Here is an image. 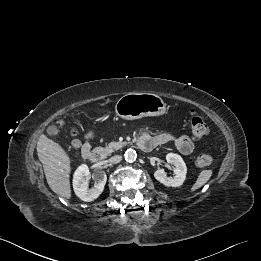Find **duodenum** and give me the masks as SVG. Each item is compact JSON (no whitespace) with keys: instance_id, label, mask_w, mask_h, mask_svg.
Returning <instances> with one entry per match:
<instances>
[{"instance_id":"obj_1","label":"duodenum","mask_w":261,"mask_h":261,"mask_svg":"<svg viewBox=\"0 0 261 261\" xmlns=\"http://www.w3.org/2000/svg\"><path fill=\"white\" fill-rule=\"evenodd\" d=\"M138 146L141 150L150 151L153 149L151 143L139 140ZM82 156L90 162L98 163L102 161L105 157V152L103 150H85L82 152Z\"/></svg>"}]
</instances>
